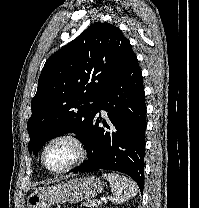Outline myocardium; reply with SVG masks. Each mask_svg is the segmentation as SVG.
<instances>
[{
	"label": "myocardium",
	"instance_id": "1",
	"mask_svg": "<svg viewBox=\"0 0 199 208\" xmlns=\"http://www.w3.org/2000/svg\"><path fill=\"white\" fill-rule=\"evenodd\" d=\"M61 140H66L71 142L75 147H76V157L73 161H71L69 164L58 168V169H53L50 168L47 163H46V159H45V153L47 148L54 142L57 141H61ZM87 157V147L86 144L84 143V141L76 134L71 133V132H66V133H61V134H57L53 137H51L43 146L42 151H41V162L43 164V166L51 173L54 174H63L66 173L70 170H72L73 168L79 166L81 163H83V161L86 159Z\"/></svg>",
	"mask_w": 199,
	"mask_h": 208
}]
</instances>
